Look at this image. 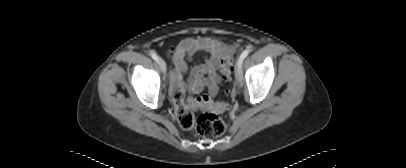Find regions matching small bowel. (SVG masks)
Returning <instances> with one entry per match:
<instances>
[{
  "label": "small bowel",
  "instance_id": "c3829d8e",
  "mask_svg": "<svg viewBox=\"0 0 406 168\" xmlns=\"http://www.w3.org/2000/svg\"><path fill=\"white\" fill-rule=\"evenodd\" d=\"M234 52V46L221 41L206 38H188L180 42L175 48L169 49L168 53L172 57L174 70L172 71L171 92L183 87V74L187 72V58L204 53L208 56L204 64L195 66L189 74V83L194 93H201L205 87L208 89V96L202 98L209 99L216 96L218 92V68L223 58L230 56Z\"/></svg>",
  "mask_w": 406,
  "mask_h": 168
}]
</instances>
